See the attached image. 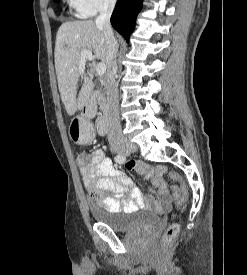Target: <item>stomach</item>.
Instances as JSON below:
<instances>
[{"mask_svg":"<svg viewBox=\"0 0 247 275\" xmlns=\"http://www.w3.org/2000/svg\"><path fill=\"white\" fill-rule=\"evenodd\" d=\"M69 136L77 144H86L93 139L92 127L88 122L75 119L71 122Z\"/></svg>","mask_w":247,"mask_h":275,"instance_id":"0dacf381","label":"stomach"}]
</instances>
